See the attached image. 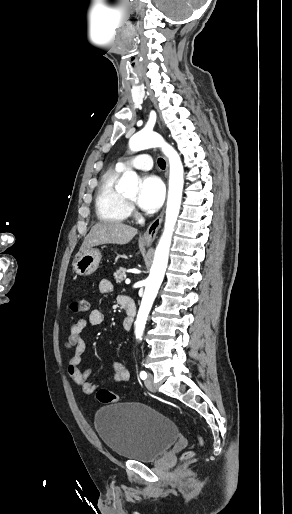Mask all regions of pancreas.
Here are the masks:
<instances>
[{"instance_id":"1","label":"pancreas","mask_w":292,"mask_h":514,"mask_svg":"<svg viewBox=\"0 0 292 514\" xmlns=\"http://www.w3.org/2000/svg\"><path fill=\"white\" fill-rule=\"evenodd\" d=\"M126 268H119V270H116V272H114L113 276L116 280V284H121V282H123V280H126Z\"/></svg>"}]
</instances>
